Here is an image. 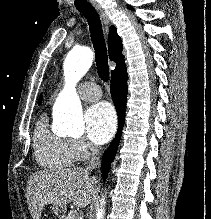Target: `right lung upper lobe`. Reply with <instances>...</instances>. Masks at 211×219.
<instances>
[{"instance_id":"obj_1","label":"right lung upper lobe","mask_w":211,"mask_h":219,"mask_svg":"<svg viewBox=\"0 0 211 219\" xmlns=\"http://www.w3.org/2000/svg\"><path fill=\"white\" fill-rule=\"evenodd\" d=\"M108 48H109V57L112 61L116 62L115 69L111 72V75L118 71L119 69L126 67L124 63V56L122 55V41L117 34L115 26L110 27L109 36H108ZM41 100V98H40ZM41 101H39V104Z\"/></svg>"}]
</instances>
